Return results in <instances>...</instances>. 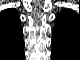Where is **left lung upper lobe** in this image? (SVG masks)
Wrapping results in <instances>:
<instances>
[{"label": "left lung upper lobe", "mask_w": 80, "mask_h": 60, "mask_svg": "<svg viewBox=\"0 0 80 60\" xmlns=\"http://www.w3.org/2000/svg\"><path fill=\"white\" fill-rule=\"evenodd\" d=\"M75 13L71 10H63L57 17V22L54 27V36L58 37L59 41L69 46L71 40L70 31L71 24L74 22Z\"/></svg>", "instance_id": "left-lung-upper-lobe-1"}]
</instances>
